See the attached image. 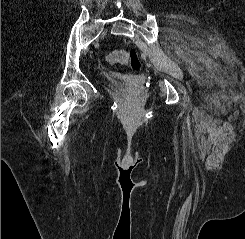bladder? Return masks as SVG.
Listing matches in <instances>:
<instances>
[{
	"instance_id": "bladder-1",
	"label": "bladder",
	"mask_w": 245,
	"mask_h": 239,
	"mask_svg": "<svg viewBox=\"0 0 245 239\" xmlns=\"http://www.w3.org/2000/svg\"><path fill=\"white\" fill-rule=\"evenodd\" d=\"M131 83L126 80H121L120 82L115 83V87H129Z\"/></svg>"
}]
</instances>
